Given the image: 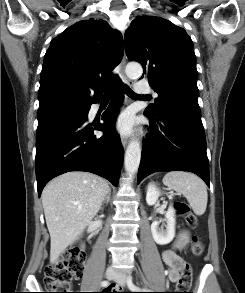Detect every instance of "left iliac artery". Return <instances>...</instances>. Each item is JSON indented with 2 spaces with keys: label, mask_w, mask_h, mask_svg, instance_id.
I'll return each instance as SVG.
<instances>
[{
  "label": "left iliac artery",
  "mask_w": 245,
  "mask_h": 293,
  "mask_svg": "<svg viewBox=\"0 0 245 293\" xmlns=\"http://www.w3.org/2000/svg\"><path fill=\"white\" fill-rule=\"evenodd\" d=\"M127 285L129 287L130 290H133V291H137V290H140L138 287H136L133 282H132V278L129 277L128 280H127Z\"/></svg>",
  "instance_id": "left-iliac-artery-1"
}]
</instances>
